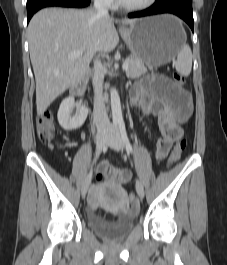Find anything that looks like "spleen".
Returning <instances> with one entry per match:
<instances>
[{
	"label": "spleen",
	"mask_w": 227,
	"mask_h": 265,
	"mask_svg": "<svg viewBox=\"0 0 227 265\" xmlns=\"http://www.w3.org/2000/svg\"><path fill=\"white\" fill-rule=\"evenodd\" d=\"M177 72L183 76H188L192 69V52L189 45L184 44L177 54L175 63Z\"/></svg>",
	"instance_id": "spleen-1"
}]
</instances>
